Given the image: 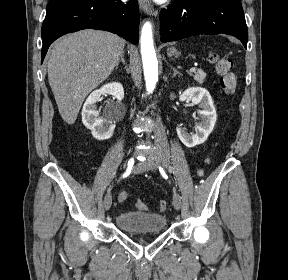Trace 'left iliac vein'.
<instances>
[{
	"label": "left iliac vein",
	"mask_w": 288,
	"mask_h": 280,
	"mask_svg": "<svg viewBox=\"0 0 288 280\" xmlns=\"http://www.w3.org/2000/svg\"><path fill=\"white\" fill-rule=\"evenodd\" d=\"M162 162L164 165H166V162L163 159L160 160H155L152 157H148L146 161L142 162L141 168L145 170H154L157 168L158 163ZM173 205L176 210H179L181 207V197L179 196H174L173 195Z\"/></svg>",
	"instance_id": "left-iliac-vein-1"
}]
</instances>
